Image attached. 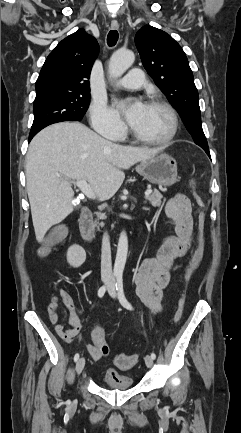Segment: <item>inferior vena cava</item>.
Listing matches in <instances>:
<instances>
[{"mask_svg": "<svg viewBox=\"0 0 241 433\" xmlns=\"http://www.w3.org/2000/svg\"><path fill=\"white\" fill-rule=\"evenodd\" d=\"M101 279L113 280L110 240L107 233L103 235L101 249Z\"/></svg>", "mask_w": 241, "mask_h": 433, "instance_id": "inferior-vena-cava-1", "label": "inferior vena cava"}]
</instances>
